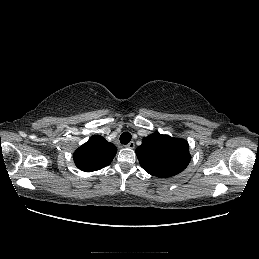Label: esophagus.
<instances>
[{
  "label": "esophagus",
  "instance_id": "obj_1",
  "mask_svg": "<svg viewBox=\"0 0 259 259\" xmlns=\"http://www.w3.org/2000/svg\"><path fill=\"white\" fill-rule=\"evenodd\" d=\"M127 148H130V149H133L135 147V143L133 141L129 142L127 145H126Z\"/></svg>",
  "mask_w": 259,
  "mask_h": 259
}]
</instances>
